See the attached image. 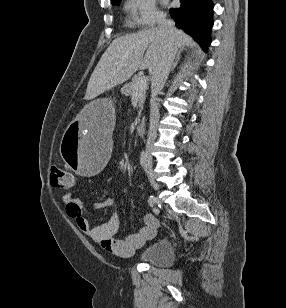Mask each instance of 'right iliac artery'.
<instances>
[{"label":"right iliac artery","instance_id":"82829eb1","mask_svg":"<svg viewBox=\"0 0 286 308\" xmlns=\"http://www.w3.org/2000/svg\"><path fill=\"white\" fill-rule=\"evenodd\" d=\"M147 162V152L142 151L140 154V163L141 166L144 168ZM148 205H150V209L153 210V212H155L156 214L159 213L158 207L155 206L152 198L150 197L148 200Z\"/></svg>","mask_w":286,"mask_h":308}]
</instances>
